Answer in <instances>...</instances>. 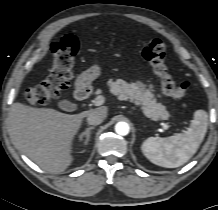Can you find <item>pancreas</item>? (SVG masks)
<instances>
[{"label": "pancreas", "instance_id": "cf45deb5", "mask_svg": "<svg viewBox=\"0 0 218 210\" xmlns=\"http://www.w3.org/2000/svg\"><path fill=\"white\" fill-rule=\"evenodd\" d=\"M110 92L119 100H129L136 105H140L145 116L152 120H167L169 112L166 107L158 103L154 98L151 89L140 82L127 83L122 79L108 81Z\"/></svg>", "mask_w": 218, "mask_h": 210}]
</instances>
